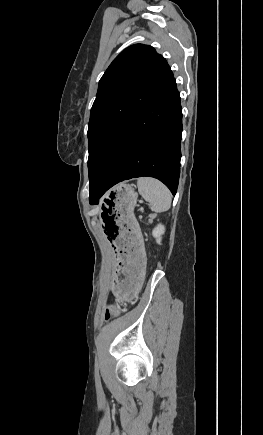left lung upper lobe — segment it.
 Instances as JSON below:
<instances>
[{
  "instance_id": "obj_1",
  "label": "left lung upper lobe",
  "mask_w": 263,
  "mask_h": 435,
  "mask_svg": "<svg viewBox=\"0 0 263 435\" xmlns=\"http://www.w3.org/2000/svg\"><path fill=\"white\" fill-rule=\"evenodd\" d=\"M173 78L167 61L149 45L129 46L113 60L90 114L89 185L124 130Z\"/></svg>"
}]
</instances>
